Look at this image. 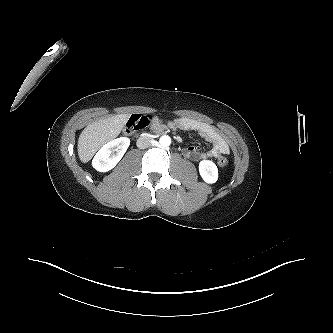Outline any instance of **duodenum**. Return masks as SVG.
Wrapping results in <instances>:
<instances>
[{"label":"duodenum","instance_id":"duodenum-1","mask_svg":"<svg viewBox=\"0 0 333 333\" xmlns=\"http://www.w3.org/2000/svg\"><path fill=\"white\" fill-rule=\"evenodd\" d=\"M148 137H150V135L147 134V133H143V134L141 135V139L148 138Z\"/></svg>","mask_w":333,"mask_h":333}]
</instances>
